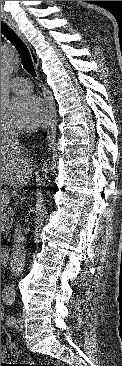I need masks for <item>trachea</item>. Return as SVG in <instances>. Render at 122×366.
<instances>
[{
  "label": "trachea",
  "mask_w": 122,
  "mask_h": 366,
  "mask_svg": "<svg viewBox=\"0 0 122 366\" xmlns=\"http://www.w3.org/2000/svg\"><path fill=\"white\" fill-rule=\"evenodd\" d=\"M1 34L18 50L24 69L30 75L36 77L37 75L29 49L17 34L3 21H1Z\"/></svg>",
  "instance_id": "trachea-1"
}]
</instances>
